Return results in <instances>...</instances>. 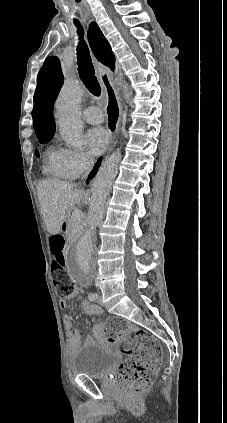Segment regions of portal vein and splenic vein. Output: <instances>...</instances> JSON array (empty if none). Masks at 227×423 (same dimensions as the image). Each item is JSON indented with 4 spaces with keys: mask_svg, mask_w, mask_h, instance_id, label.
Wrapping results in <instances>:
<instances>
[{
    "mask_svg": "<svg viewBox=\"0 0 227 423\" xmlns=\"http://www.w3.org/2000/svg\"><path fill=\"white\" fill-rule=\"evenodd\" d=\"M72 219H74V221L81 219V211H72Z\"/></svg>",
    "mask_w": 227,
    "mask_h": 423,
    "instance_id": "portal-vein-and-splenic-vein-1",
    "label": "portal vein and splenic vein"
}]
</instances>
